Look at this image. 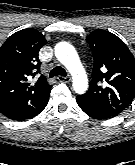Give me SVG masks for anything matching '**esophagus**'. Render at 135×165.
<instances>
[{
	"mask_svg": "<svg viewBox=\"0 0 135 165\" xmlns=\"http://www.w3.org/2000/svg\"><path fill=\"white\" fill-rule=\"evenodd\" d=\"M57 79H58L59 81L66 82V83H69V82L71 81V77H70V76H66V77L58 76Z\"/></svg>",
	"mask_w": 135,
	"mask_h": 165,
	"instance_id": "34e87169",
	"label": "esophagus"
}]
</instances>
